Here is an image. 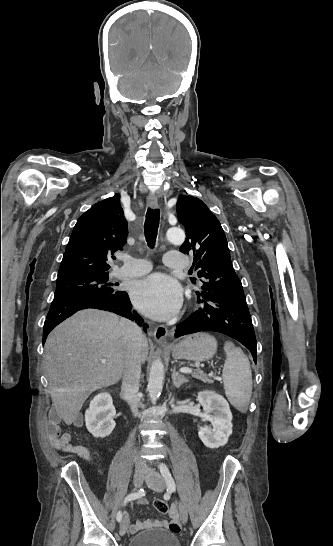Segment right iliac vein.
I'll return each instance as SVG.
<instances>
[{"instance_id": "1", "label": "right iliac vein", "mask_w": 333, "mask_h": 546, "mask_svg": "<svg viewBox=\"0 0 333 546\" xmlns=\"http://www.w3.org/2000/svg\"><path fill=\"white\" fill-rule=\"evenodd\" d=\"M146 479V474L144 471L142 470H138L135 472L134 474V478H133V484L136 488H139L142 484H143V481ZM129 523H130V520H129V516L126 514L121 523H120V529H119V532L121 534H124L129 526Z\"/></svg>"}]
</instances>
